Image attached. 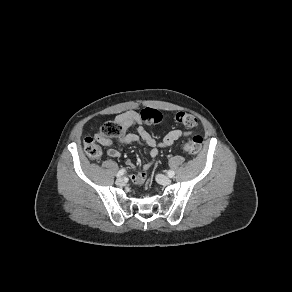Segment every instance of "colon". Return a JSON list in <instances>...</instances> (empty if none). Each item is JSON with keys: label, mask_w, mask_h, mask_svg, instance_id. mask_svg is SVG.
I'll list each match as a JSON object with an SVG mask.
<instances>
[{"label": "colon", "mask_w": 292, "mask_h": 292, "mask_svg": "<svg viewBox=\"0 0 292 292\" xmlns=\"http://www.w3.org/2000/svg\"><path fill=\"white\" fill-rule=\"evenodd\" d=\"M141 119L145 123H158L162 120V115L153 109L147 108L140 112ZM176 121L180 122L187 128H195L197 125L196 119L185 112H178L174 115ZM125 133V129L122 125L115 121H109L104 123L94 138L88 137L84 140V149L86 154L92 158L97 159L102 155V149L100 146V138H112L116 139L121 137ZM203 139L200 135L189 138L183 145L184 151L189 155H196L200 152Z\"/></svg>", "instance_id": "1"}]
</instances>
